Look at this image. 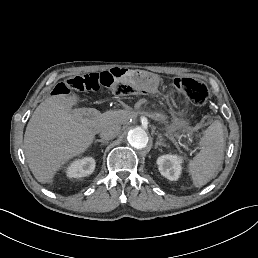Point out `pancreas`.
Masks as SVG:
<instances>
[{
  "instance_id": "cf45deb5",
  "label": "pancreas",
  "mask_w": 258,
  "mask_h": 258,
  "mask_svg": "<svg viewBox=\"0 0 258 258\" xmlns=\"http://www.w3.org/2000/svg\"><path fill=\"white\" fill-rule=\"evenodd\" d=\"M146 117H150L152 119H155L159 122H161L162 124H166V125H171L172 124V119L171 118H167L165 117L163 114L158 113L156 111H151V110H146L142 107L138 108L137 110H133V109H125V110H117L116 113L114 112H109L108 113V118H103L105 121V126L114 123H123L125 122L127 119H131V118H139L140 116L144 115ZM116 115V116H115ZM104 126V127H105ZM176 131V126H169L166 129V136L171 139L174 140V132Z\"/></svg>"
}]
</instances>
